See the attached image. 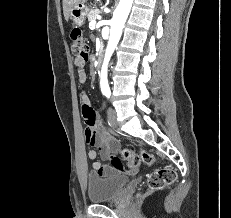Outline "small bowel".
Returning a JSON list of instances; mask_svg holds the SVG:
<instances>
[{
	"label": "small bowel",
	"instance_id": "obj_1",
	"mask_svg": "<svg viewBox=\"0 0 231 218\" xmlns=\"http://www.w3.org/2000/svg\"><path fill=\"white\" fill-rule=\"evenodd\" d=\"M85 63H88V58H84L83 56H77L75 58V65L78 68L76 69V74H79V81L81 84L86 82L87 69H84ZM81 99L83 102V117L86 123L84 138L87 143L98 148V152L90 150L87 153V158L92 162L94 173L99 176H112L116 173H126L129 175L135 174V169L125 170L122 164L119 168H114L112 165H102L101 162L97 160L98 157L102 160L110 161L116 158L113 154L118 149V144L105 132L103 125L95 121L97 110L91 105L86 92L82 93Z\"/></svg>",
	"mask_w": 231,
	"mask_h": 218
}]
</instances>
